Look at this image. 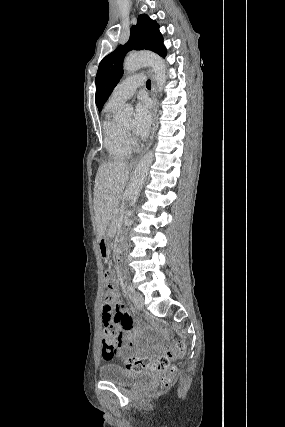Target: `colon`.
Instances as JSON below:
<instances>
[{"mask_svg": "<svg viewBox=\"0 0 285 427\" xmlns=\"http://www.w3.org/2000/svg\"><path fill=\"white\" fill-rule=\"evenodd\" d=\"M104 284L106 291L104 301H110L113 298V274L110 270L103 272ZM104 345L102 347V357L106 361L112 360L117 356V351L122 342L121 328L118 323L105 328L103 334ZM185 352V344L182 341L172 343L165 354L149 359L145 357L130 356L126 358L125 365L130 370H149L162 374L158 390L162 391L168 388L172 383V375L175 368L170 367L172 360L181 357Z\"/></svg>", "mask_w": 285, "mask_h": 427, "instance_id": "5ec220e1", "label": "colon"}]
</instances>
